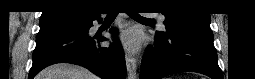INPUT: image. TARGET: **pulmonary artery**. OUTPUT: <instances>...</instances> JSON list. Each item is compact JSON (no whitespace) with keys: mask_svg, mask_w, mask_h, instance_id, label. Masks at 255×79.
Returning a JSON list of instances; mask_svg holds the SVG:
<instances>
[{"mask_svg":"<svg viewBox=\"0 0 255 79\" xmlns=\"http://www.w3.org/2000/svg\"><path fill=\"white\" fill-rule=\"evenodd\" d=\"M159 19H160L161 24H162V26H163V23H162V22H163V20H164V16H160Z\"/></svg>","mask_w":255,"mask_h":79,"instance_id":"obj_1","label":"pulmonary artery"}]
</instances>
